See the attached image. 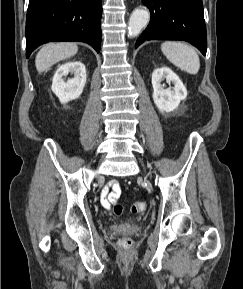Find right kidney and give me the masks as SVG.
Segmentation results:
<instances>
[{"mask_svg":"<svg viewBox=\"0 0 243 289\" xmlns=\"http://www.w3.org/2000/svg\"><path fill=\"white\" fill-rule=\"evenodd\" d=\"M69 73L74 74V77L65 81L63 77ZM86 78L84 64L80 61H70L58 67L52 80L51 89L64 104L80 97L86 84Z\"/></svg>","mask_w":243,"mask_h":289,"instance_id":"obj_1","label":"right kidney"}]
</instances>
